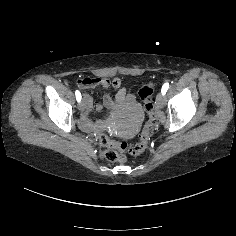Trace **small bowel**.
<instances>
[{
	"label": "small bowel",
	"mask_w": 236,
	"mask_h": 236,
	"mask_svg": "<svg viewBox=\"0 0 236 236\" xmlns=\"http://www.w3.org/2000/svg\"><path fill=\"white\" fill-rule=\"evenodd\" d=\"M120 84H121V82H120L119 79H114V80L111 82V85H112L113 87H119ZM96 85H109V82L106 81V80H104V81H102V82H100V83L93 84V85H90V86H88V87H93V86H96ZM82 88H87V87H82ZM87 100H90L91 105H92V100H91V98H90L89 96L85 97V102H86V104H87ZM90 107H91V106H90ZM90 107H88V109H89ZM101 107H102L101 105H98V109H100Z\"/></svg>",
	"instance_id": "small-bowel-1"
}]
</instances>
